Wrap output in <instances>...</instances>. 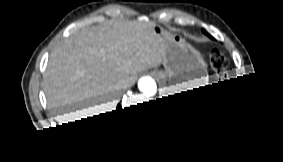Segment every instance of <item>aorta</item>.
Returning <instances> with one entry per match:
<instances>
[{
	"mask_svg": "<svg viewBox=\"0 0 283 162\" xmlns=\"http://www.w3.org/2000/svg\"><path fill=\"white\" fill-rule=\"evenodd\" d=\"M138 88L145 94H153L156 90V84L151 77L144 76L139 79Z\"/></svg>",
	"mask_w": 283,
	"mask_h": 162,
	"instance_id": "1",
	"label": "aorta"
}]
</instances>
